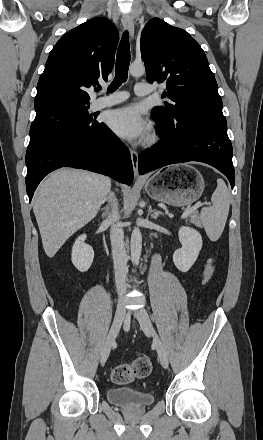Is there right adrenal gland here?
Masks as SVG:
<instances>
[{
	"label": "right adrenal gland",
	"instance_id": "right-adrenal-gland-1",
	"mask_svg": "<svg viewBox=\"0 0 263 440\" xmlns=\"http://www.w3.org/2000/svg\"><path fill=\"white\" fill-rule=\"evenodd\" d=\"M109 210H110V206H106L101 209L103 219L109 214Z\"/></svg>",
	"mask_w": 263,
	"mask_h": 440
}]
</instances>
